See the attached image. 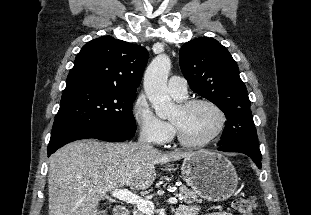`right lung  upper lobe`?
<instances>
[{"mask_svg": "<svg viewBox=\"0 0 311 215\" xmlns=\"http://www.w3.org/2000/svg\"><path fill=\"white\" fill-rule=\"evenodd\" d=\"M148 57L144 47L111 36L91 40L77 54L66 87L89 84L136 92Z\"/></svg>", "mask_w": 311, "mask_h": 215, "instance_id": "cb5924a9", "label": "right lung upper lobe"}]
</instances>
